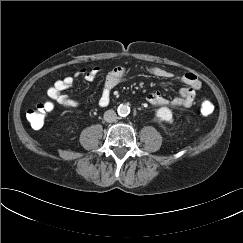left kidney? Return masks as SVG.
<instances>
[{"label": "left kidney", "instance_id": "obj_1", "mask_svg": "<svg viewBox=\"0 0 243 243\" xmlns=\"http://www.w3.org/2000/svg\"><path fill=\"white\" fill-rule=\"evenodd\" d=\"M156 116L161 120V121H166L169 123L173 122V116L172 112L168 107H161L156 110Z\"/></svg>", "mask_w": 243, "mask_h": 243}]
</instances>
